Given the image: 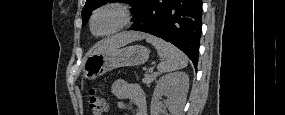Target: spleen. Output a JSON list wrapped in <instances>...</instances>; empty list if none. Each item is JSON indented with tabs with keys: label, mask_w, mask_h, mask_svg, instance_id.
Returning <instances> with one entry per match:
<instances>
[{
	"label": "spleen",
	"mask_w": 285,
	"mask_h": 115,
	"mask_svg": "<svg viewBox=\"0 0 285 115\" xmlns=\"http://www.w3.org/2000/svg\"><path fill=\"white\" fill-rule=\"evenodd\" d=\"M146 41L156 48L158 56L163 60L157 66L159 72H172L187 66L188 59L186 55L169 42L151 35L146 37Z\"/></svg>",
	"instance_id": "1"
}]
</instances>
